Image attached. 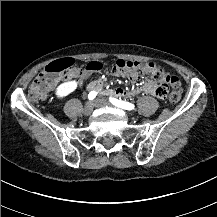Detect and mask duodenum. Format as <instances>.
<instances>
[{
	"mask_svg": "<svg viewBox=\"0 0 217 217\" xmlns=\"http://www.w3.org/2000/svg\"><path fill=\"white\" fill-rule=\"evenodd\" d=\"M88 89L90 90H95L99 93H102V94H105V95H108V94H114L115 93V89H108L105 87L104 83L100 80H94V81H91L89 84H88Z\"/></svg>",
	"mask_w": 217,
	"mask_h": 217,
	"instance_id": "1",
	"label": "duodenum"
}]
</instances>
